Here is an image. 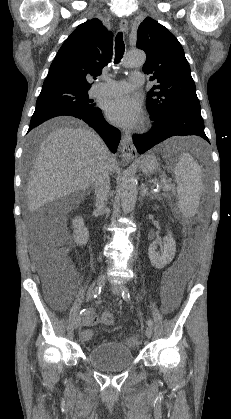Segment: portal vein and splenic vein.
Returning <instances> with one entry per match:
<instances>
[{
  "instance_id": "obj_1",
  "label": "portal vein and splenic vein",
  "mask_w": 231,
  "mask_h": 419,
  "mask_svg": "<svg viewBox=\"0 0 231 419\" xmlns=\"http://www.w3.org/2000/svg\"><path fill=\"white\" fill-rule=\"evenodd\" d=\"M161 184H163V188L165 190H170L171 189V186L169 184H167L165 180H162Z\"/></svg>"
}]
</instances>
